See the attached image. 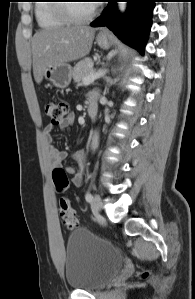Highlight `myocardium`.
I'll list each match as a JSON object with an SVG mask.
<instances>
[{
  "instance_id": "obj_1",
  "label": "myocardium",
  "mask_w": 195,
  "mask_h": 299,
  "mask_svg": "<svg viewBox=\"0 0 195 299\" xmlns=\"http://www.w3.org/2000/svg\"><path fill=\"white\" fill-rule=\"evenodd\" d=\"M68 2V1H61ZM58 13L70 23H85L93 19L97 14V7L93 4L92 10L86 15H77L71 10V3H59L56 5Z\"/></svg>"
}]
</instances>
